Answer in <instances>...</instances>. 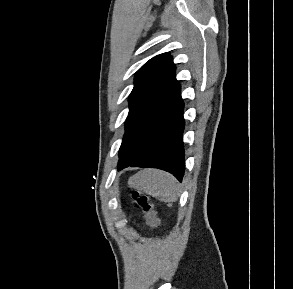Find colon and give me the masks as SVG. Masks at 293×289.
Listing matches in <instances>:
<instances>
[{
    "mask_svg": "<svg viewBox=\"0 0 293 289\" xmlns=\"http://www.w3.org/2000/svg\"><path fill=\"white\" fill-rule=\"evenodd\" d=\"M132 197L136 205L144 212L146 221L152 226L160 227L162 223L157 217L151 199L147 195L139 192H134Z\"/></svg>",
    "mask_w": 293,
    "mask_h": 289,
    "instance_id": "5ec220e1",
    "label": "colon"
}]
</instances>
